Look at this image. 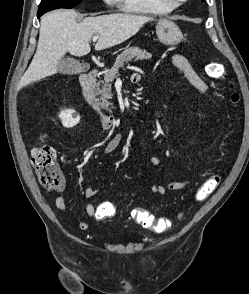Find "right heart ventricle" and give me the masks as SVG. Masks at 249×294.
Instances as JSON below:
<instances>
[{
	"mask_svg": "<svg viewBox=\"0 0 249 294\" xmlns=\"http://www.w3.org/2000/svg\"><path fill=\"white\" fill-rule=\"evenodd\" d=\"M120 7L134 14H167L175 9L163 0H114Z\"/></svg>",
	"mask_w": 249,
	"mask_h": 294,
	"instance_id": "e07e8e85",
	"label": "right heart ventricle"
}]
</instances>
